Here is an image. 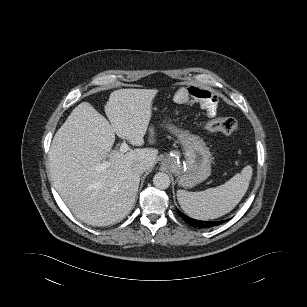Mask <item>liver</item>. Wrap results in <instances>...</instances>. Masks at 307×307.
<instances>
[{
	"instance_id": "liver-1",
	"label": "liver",
	"mask_w": 307,
	"mask_h": 307,
	"mask_svg": "<svg viewBox=\"0 0 307 307\" xmlns=\"http://www.w3.org/2000/svg\"><path fill=\"white\" fill-rule=\"evenodd\" d=\"M156 89L113 91L105 106L108 120L90 103L73 109L56 132L49 152L50 177L67 207L81 221L106 226L122 220L133 208L140 174L137 163L150 169L157 158L155 148H136L127 153L112 151L115 133L133 146H142L149 127ZM149 127V128H148ZM109 158L111 165L96 167Z\"/></svg>"
}]
</instances>
